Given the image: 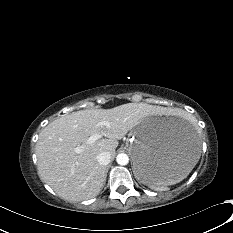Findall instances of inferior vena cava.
<instances>
[{
    "instance_id": "602c4592",
    "label": "inferior vena cava",
    "mask_w": 233,
    "mask_h": 233,
    "mask_svg": "<svg viewBox=\"0 0 233 233\" xmlns=\"http://www.w3.org/2000/svg\"><path fill=\"white\" fill-rule=\"evenodd\" d=\"M97 161L100 165H108L110 163L111 154L107 151H103L97 155Z\"/></svg>"
}]
</instances>
